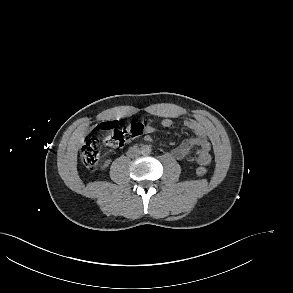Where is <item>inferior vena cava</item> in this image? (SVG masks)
<instances>
[{
	"label": "inferior vena cava",
	"instance_id": "602c4592",
	"mask_svg": "<svg viewBox=\"0 0 293 293\" xmlns=\"http://www.w3.org/2000/svg\"><path fill=\"white\" fill-rule=\"evenodd\" d=\"M139 154H140V149H139V148H136V147H132V148H130V149L128 150V152H127V156H128V157H131V158L136 157V156H138Z\"/></svg>",
	"mask_w": 293,
	"mask_h": 293
}]
</instances>
